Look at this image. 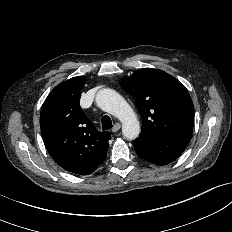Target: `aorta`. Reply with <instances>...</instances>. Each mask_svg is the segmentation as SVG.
Wrapping results in <instances>:
<instances>
[{"label": "aorta", "instance_id": "1", "mask_svg": "<svg viewBox=\"0 0 232 232\" xmlns=\"http://www.w3.org/2000/svg\"><path fill=\"white\" fill-rule=\"evenodd\" d=\"M96 103L103 111L108 112L122 122V134L126 139L133 140L140 134L139 121L125 99L110 88L98 91Z\"/></svg>", "mask_w": 232, "mask_h": 232}]
</instances>
